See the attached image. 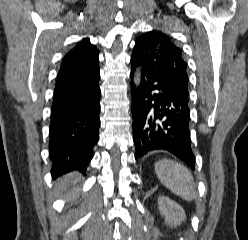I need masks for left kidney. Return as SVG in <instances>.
I'll list each match as a JSON object with an SVG mask.
<instances>
[{"mask_svg":"<svg viewBox=\"0 0 248 240\" xmlns=\"http://www.w3.org/2000/svg\"><path fill=\"white\" fill-rule=\"evenodd\" d=\"M159 211L164 216L165 223L171 227L180 225L186 219L183 208L169 197L158 198Z\"/></svg>","mask_w":248,"mask_h":240,"instance_id":"1","label":"left kidney"}]
</instances>
